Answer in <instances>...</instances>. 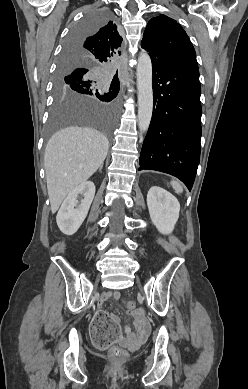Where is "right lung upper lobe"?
Here are the masks:
<instances>
[{
	"instance_id": "right-lung-upper-lobe-1",
	"label": "right lung upper lobe",
	"mask_w": 248,
	"mask_h": 389,
	"mask_svg": "<svg viewBox=\"0 0 248 389\" xmlns=\"http://www.w3.org/2000/svg\"><path fill=\"white\" fill-rule=\"evenodd\" d=\"M122 42L123 39L117 25L109 21L79 43H72L68 48H65L61 58L64 57L67 61L66 64H68L70 59L79 56L81 62L85 64L108 67L115 57L120 55ZM112 82H119L117 74Z\"/></svg>"
}]
</instances>
